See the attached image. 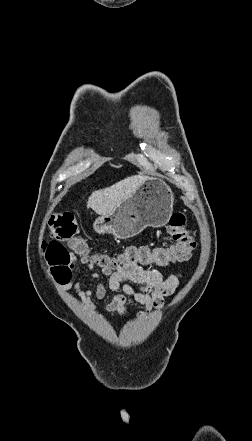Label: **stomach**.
Masks as SVG:
<instances>
[{
    "mask_svg": "<svg viewBox=\"0 0 252 441\" xmlns=\"http://www.w3.org/2000/svg\"><path fill=\"white\" fill-rule=\"evenodd\" d=\"M174 205L171 188L161 179L150 178L111 213L94 222L98 233H110L117 239H128L146 227L159 228L169 221Z\"/></svg>",
    "mask_w": 252,
    "mask_h": 441,
    "instance_id": "obj_1",
    "label": "stomach"
}]
</instances>
